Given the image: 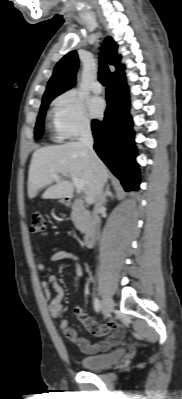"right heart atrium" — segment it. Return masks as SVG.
I'll use <instances>...</instances> for the list:
<instances>
[{
	"label": "right heart atrium",
	"instance_id": "d8ad5b80",
	"mask_svg": "<svg viewBox=\"0 0 182 399\" xmlns=\"http://www.w3.org/2000/svg\"><path fill=\"white\" fill-rule=\"evenodd\" d=\"M52 117L54 130L60 139H73L91 127L84 101L73 90L60 94L53 101Z\"/></svg>",
	"mask_w": 182,
	"mask_h": 399
}]
</instances>
